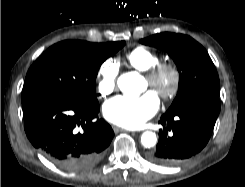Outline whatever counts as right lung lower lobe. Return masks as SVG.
I'll use <instances>...</instances> for the list:
<instances>
[{
    "mask_svg": "<svg viewBox=\"0 0 245 187\" xmlns=\"http://www.w3.org/2000/svg\"><path fill=\"white\" fill-rule=\"evenodd\" d=\"M24 128L30 142L47 159L67 171H82L104 156L114 132L95 118L98 106L59 96L22 104Z\"/></svg>",
    "mask_w": 245,
    "mask_h": 187,
    "instance_id": "98d812e1",
    "label": "right lung lower lobe"
}]
</instances>
